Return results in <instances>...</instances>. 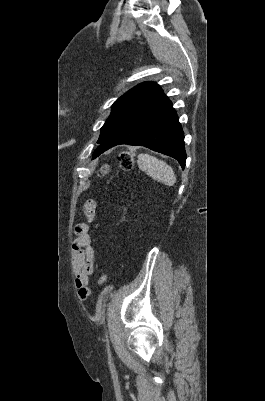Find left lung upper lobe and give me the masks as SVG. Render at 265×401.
I'll return each instance as SVG.
<instances>
[{"label": "left lung upper lobe", "mask_w": 265, "mask_h": 401, "mask_svg": "<svg viewBox=\"0 0 265 401\" xmlns=\"http://www.w3.org/2000/svg\"><path fill=\"white\" fill-rule=\"evenodd\" d=\"M163 90L154 82L141 83L118 98L112 105V112L101 128L98 140L100 144L115 132L128 118L143 109L157 97Z\"/></svg>", "instance_id": "1"}]
</instances>
